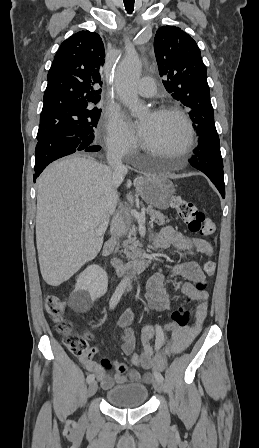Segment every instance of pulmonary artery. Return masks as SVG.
<instances>
[{
	"label": "pulmonary artery",
	"instance_id": "e3ab8cb5",
	"mask_svg": "<svg viewBox=\"0 0 259 448\" xmlns=\"http://www.w3.org/2000/svg\"><path fill=\"white\" fill-rule=\"evenodd\" d=\"M123 63H125L128 66H132V61L130 59L124 60ZM148 81H152L154 83V80L150 77L140 78L134 88L135 92L142 96H153L155 94L156 89L154 86L147 85Z\"/></svg>",
	"mask_w": 259,
	"mask_h": 448
}]
</instances>
